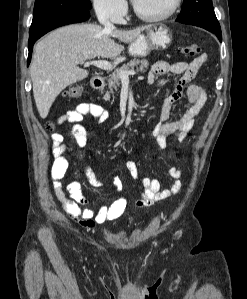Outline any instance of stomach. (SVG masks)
<instances>
[{"label": "stomach", "mask_w": 247, "mask_h": 299, "mask_svg": "<svg viewBox=\"0 0 247 299\" xmlns=\"http://www.w3.org/2000/svg\"><path fill=\"white\" fill-rule=\"evenodd\" d=\"M172 42V33L164 24L153 25L147 29V35L138 36L129 46L133 57H146L152 50H165Z\"/></svg>", "instance_id": "1"}]
</instances>
